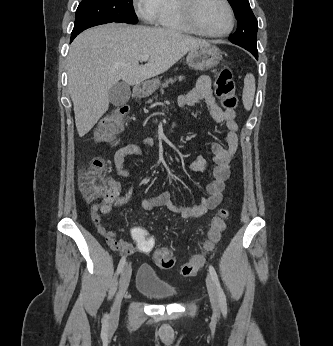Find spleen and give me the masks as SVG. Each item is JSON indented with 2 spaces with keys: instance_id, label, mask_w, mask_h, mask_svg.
<instances>
[{
  "instance_id": "3e777b00",
  "label": "spleen",
  "mask_w": 333,
  "mask_h": 346,
  "mask_svg": "<svg viewBox=\"0 0 333 346\" xmlns=\"http://www.w3.org/2000/svg\"><path fill=\"white\" fill-rule=\"evenodd\" d=\"M255 95V77L253 74L248 73L244 79L243 89V104L246 110H250L253 104Z\"/></svg>"
}]
</instances>
